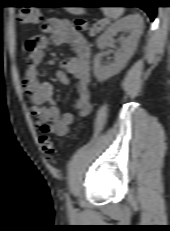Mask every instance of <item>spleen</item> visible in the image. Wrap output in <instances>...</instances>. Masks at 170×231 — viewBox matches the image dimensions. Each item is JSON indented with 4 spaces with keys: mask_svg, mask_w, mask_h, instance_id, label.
I'll return each instance as SVG.
<instances>
[{
    "mask_svg": "<svg viewBox=\"0 0 170 231\" xmlns=\"http://www.w3.org/2000/svg\"><path fill=\"white\" fill-rule=\"evenodd\" d=\"M102 11L104 15L113 19H117L122 15L124 9L122 7H104L102 8Z\"/></svg>",
    "mask_w": 170,
    "mask_h": 231,
    "instance_id": "spleen-1",
    "label": "spleen"
}]
</instances>
